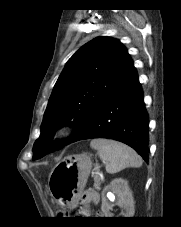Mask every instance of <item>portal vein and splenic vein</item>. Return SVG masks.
<instances>
[{
    "mask_svg": "<svg viewBox=\"0 0 181 227\" xmlns=\"http://www.w3.org/2000/svg\"><path fill=\"white\" fill-rule=\"evenodd\" d=\"M95 174H96V175L99 174V171L97 170V171L95 172Z\"/></svg>",
    "mask_w": 181,
    "mask_h": 227,
    "instance_id": "18ae733b",
    "label": "portal vein and splenic vein"
}]
</instances>
